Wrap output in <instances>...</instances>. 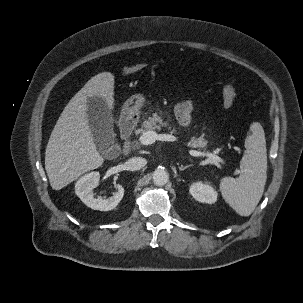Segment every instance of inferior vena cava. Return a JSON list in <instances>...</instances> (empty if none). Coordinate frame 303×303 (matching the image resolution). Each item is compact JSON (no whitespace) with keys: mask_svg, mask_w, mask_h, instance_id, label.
<instances>
[{"mask_svg":"<svg viewBox=\"0 0 303 303\" xmlns=\"http://www.w3.org/2000/svg\"><path fill=\"white\" fill-rule=\"evenodd\" d=\"M147 161L142 157H133L125 162L126 169L129 171H137L146 165Z\"/></svg>","mask_w":303,"mask_h":303,"instance_id":"obj_1","label":"inferior vena cava"}]
</instances>
